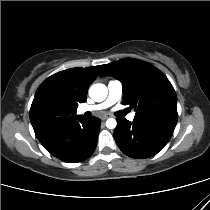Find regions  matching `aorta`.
Returning <instances> with one entry per match:
<instances>
[{
	"mask_svg": "<svg viewBox=\"0 0 210 210\" xmlns=\"http://www.w3.org/2000/svg\"><path fill=\"white\" fill-rule=\"evenodd\" d=\"M108 94V89L104 84L97 83L93 84L89 89V96L95 102H102L106 99ZM117 125V122L113 118H109L106 121V127L109 129H114Z\"/></svg>",
	"mask_w": 210,
	"mask_h": 210,
	"instance_id": "1",
	"label": "aorta"
}]
</instances>
